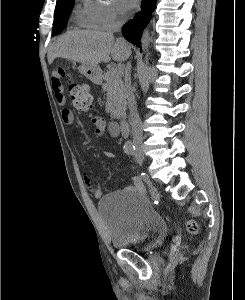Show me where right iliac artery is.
I'll return each instance as SVG.
<instances>
[{"instance_id": "right-iliac-artery-1", "label": "right iliac artery", "mask_w": 245, "mask_h": 300, "mask_svg": "<svg viewBox=\"0 0 245 300\" xmlns=\"http://www.w3.org/2000/svg\"><path fill=\"white\" fill-rule=\"evenodd\" d=\"M124 152L126 154H128V155L133 156L135 154V146L134 145H127V146H125L124 147Z\"/></svg>"}]
</instances>
